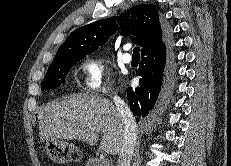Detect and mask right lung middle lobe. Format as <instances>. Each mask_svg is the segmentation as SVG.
<instances>
[{"instance_id": "1", "label": "right lung middle lobe", "mask_w": 231, "mask_h": 166, "mask_svg": "<svg viewBox=\"0 0 231 166\" xmlns=\"http://www.w3.org/2000/svg\"><path fill=\"white\" fill-rule=\"evenodd\" d=\"M84 56H62L51 63L42 81L41 90L59 87L65 82V77L71 67Z\"/></svg>"}]
</instances>
